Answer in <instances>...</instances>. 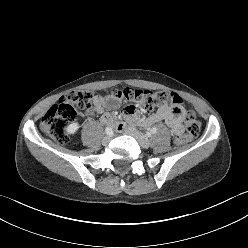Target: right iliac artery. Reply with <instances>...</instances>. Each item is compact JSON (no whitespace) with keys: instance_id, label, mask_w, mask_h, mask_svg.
Returning a JSON list of instances; mask_svg holds the SVG:
<instances>
[{"instance_id":"right-iliac-artery-1","label":"right iliac artery","mask_w":248,"mask_h":248,"mask_svg":"<svg viewBox=\"0 0 248 248\" xmlns=\"http://www.w3.org/2000/svg\"><path fill=\"white\" fill-rule=\"evenodd\" d=\"M105 132L107 135H112V133H113L112 128H110V127H106Z\"/></svg>"}]
</instances>
